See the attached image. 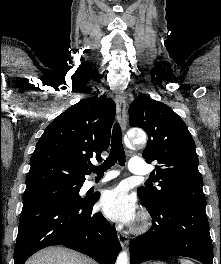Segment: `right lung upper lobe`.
Instances as JSON below:
<instances>
[{
	"mask_svg": "<svg viewBox=\"0 0 221 264\" xmlns=\"http://www.w3.org/2000/svg\"><path fill=\"white\" fill-rule=\"evenodd\" d=\"M116 106L111 99H84L46 128L36 144L26 189L54 182L84 183L90 158L109 146Z\"/></svg>",
	"mask_w": 221,
	"mask_h": 264,
	"instance_id": "obj_1",
	"label": "right lung upper lobe"
}]
</instances>
